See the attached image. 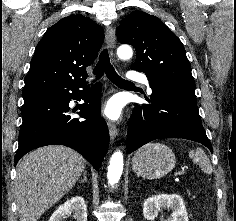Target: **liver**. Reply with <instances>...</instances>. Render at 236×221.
Returning <instances> with one entry per match:
<instances>
[{"mask_svg":"<svg viewBox=\"0 0 236 221\" xmlns=\"http://www.w3.org/2000/svg\"><path fill=\"white\" fill-rule=\"evenodd\" d=\"M85 164L79 153L65 146H45L24 156L15 182L20 221H37L75 185Z\"/></svg>","mask_w":236,"mask_h":221,"instance_id":"6515ba94","label":"liver"}]
</instances>
